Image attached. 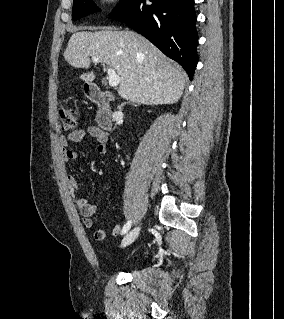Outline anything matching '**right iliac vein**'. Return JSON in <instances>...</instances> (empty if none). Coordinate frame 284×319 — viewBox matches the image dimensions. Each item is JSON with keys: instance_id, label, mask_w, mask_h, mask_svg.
Here are the masks:
<instances>
[{"instance_id": "63e3f726", "label": "right iliac vein", "mask_w": 284, "mask_h": 319, "mask_svg": "<svg viewBox=\"0 0 284 319\" xmlns=\"http://www.w3.org/2000/svg\"><path fill=\"white\" fill-rule=\"evenodd\" d=\"M139 232H140V227L139 226H137L134 229H132L122 239L121 246L122 247H126V246H129L131 243H133L136 240V238L138 237Z\"/></svg>"}]
</instances>
